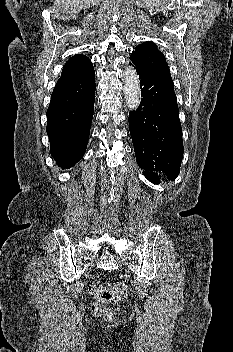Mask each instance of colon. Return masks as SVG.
Here are the masks:
<instances>
[{
	"label": "colon",
	"mask_w": 233,
	"mask_h": 352,
	"mask_svg": "<svg viewBox=\"0 0 233 352\" xmlns=\"http://www.w3.org/2000/svg\"><path fill=\"white\" fill-rule=\"evenodd\" d=\"M89 291L94 298L91 303V311L94 314L106 313L111 315L107 306L122 301L129 295L127 285L120 281L112 282L107 286L94 283L90 285Z\"/></svg>",
	"instance_id": "colon-1"
}]
</instances>
